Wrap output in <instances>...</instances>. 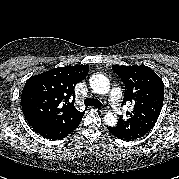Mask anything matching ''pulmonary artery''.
I'll use <instances>...</instances> for the list:
<instances>
[{
	"instance_id": "pulmonary-artery-1",
	"label": "pulmonary artery",
	"mask_w": 179,
	"mask_h": 179,
	"mask_svg": "<svg viewBox=\"0 0 179 179\" xmlns=\"http://www.w3.org/2000/svg\"><path fill=\"white\" fill-rule=\"evenodd\" d=\"M109 101L116 113L121 112V92L118 88H113L109 94Z\"/></svg>"
}]
</instances>
